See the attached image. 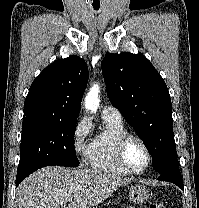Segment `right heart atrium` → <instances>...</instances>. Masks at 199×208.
<instances>
[{"mask_svg": "<svg viewBox=\"0 0 199 208\" xmlns=\"http://www.w3.org/2000/svg\"><path fill=\"white\" fill-rule=\"evenodd\" d=\"M90 131L91 124L86 118L79 119L73 128V149L82 162L88 160L91 151V143L89 142Z\"/></svg>", "mask_w": 199, "mask_h": 208, "instance_id": "d8ad5b80", "label": "right heart atrium"}]
</instances>
